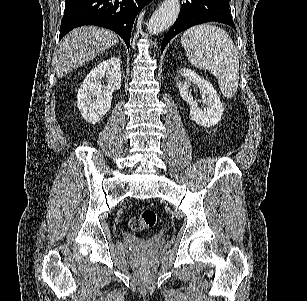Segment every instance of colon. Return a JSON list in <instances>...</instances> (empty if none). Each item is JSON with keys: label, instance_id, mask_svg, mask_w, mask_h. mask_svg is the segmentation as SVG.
<instances>
[{"label": "colon", "instance_id": "obj_1", "mask_svg": "<svg viewBox=\"0 0 307 301\" xmlns=\"http://www.w3.org/2000/svg\"><path fill=\"white\" fill-rule=\"evenodd\" d=\"M156 222L157 215L155 211L146 209L130 219L129 227L133 231H144L153 228Z\"/></svg>", "mask_w": 307, "mask_h": 301}]
</instances>
